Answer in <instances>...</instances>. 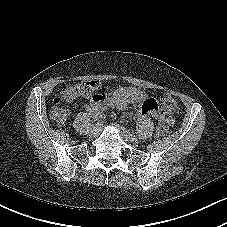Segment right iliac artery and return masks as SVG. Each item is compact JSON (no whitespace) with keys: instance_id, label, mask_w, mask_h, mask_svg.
I'll return each instance as SVG.
<instances>
[{"instance_id":"1","label":"right iliac artery","mask_w":227,"mask_h":227,"mask_svg":"<svg viewBox=\"0 0 227 227\" xmlns=\"http://www.w3.org/2000/svg\"><path fill=\"white\" fill-rule=\"evenodd\" d=\"M100 118H103V113L94 115L93 126H98V121H100Z\"/></svg>"}]
</instances>
